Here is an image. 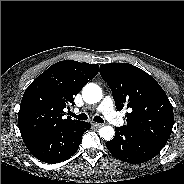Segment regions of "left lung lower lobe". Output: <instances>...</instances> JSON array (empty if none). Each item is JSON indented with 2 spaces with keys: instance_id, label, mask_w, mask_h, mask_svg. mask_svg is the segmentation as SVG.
<instances>
[{
  "instance_id": "left-lung-lower-lobe-1",
  "label": "left lung lower lobe",
  "mask_w": 184,
  "mask_h": 184,
  "mask_svg": "<svg viewBox=\"0 0 184 184\" xmlns=\"http://www.w3.org/2000/svg\"><path fill=\"white\" fill-rule=\"evenodd\" d=\"M115 130V137L106 142V147L121 161L144 163L154 158L162 149L124 127H116Z\"/></svg>"
}]
</instances>
